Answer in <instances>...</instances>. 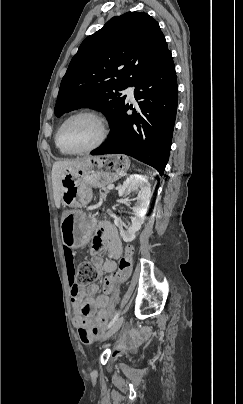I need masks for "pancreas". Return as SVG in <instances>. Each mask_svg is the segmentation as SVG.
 Masks as SVG:
<instances>
[{
  "mask_svg": "<svg viewBox=\"0 0 243 404\" xmlns=\"http://www.w3.org/2000/svg\"><path fill=\"white\" fill-rule=\"evenodd\" d=\"M107 194H109V190H106V188H102V192H100L101 200H105Z\"/></svg>",
  "mask_w": 243,
  "mask_h": 404,
  "instance_id": "cf45deb5",
  "label": "pancreas"
}]
</instances>
